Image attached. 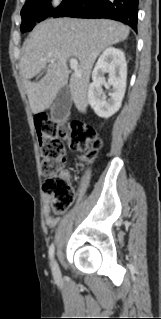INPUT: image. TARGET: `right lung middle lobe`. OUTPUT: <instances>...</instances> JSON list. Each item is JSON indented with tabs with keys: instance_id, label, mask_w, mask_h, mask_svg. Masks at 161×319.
<instances>
[{
	"instance_id": "dd1d6c3e",
	"label": "right lung middle lobe",
	"mask_w": 161,
	"mask_h": 319,
	"mask_svg": "<svg viewBox=\"0 0 161 319\" xmlns=\"http://www.w3.org/2000/svg\"><path fill=\"white\" fill-rule=\"evenodd\" d=\"M83 0H63L61 4L53 10L51 0H26L22 8L21 31H31L36 22H40L48 16L63 17L69 13L76 5Z\"/></svg>"
}]
</instances>
